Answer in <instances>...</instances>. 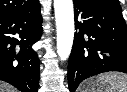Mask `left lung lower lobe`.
<instances>
[{
    "instance_id": "0a47b994",
    "label": "left lung lower lobe",
    "mask_w": 127,
    "mask_h": 92,
    "mask_svg": "<svg viewBox=\"0 0 127 92\" xmlns=\"http://www.w3.org/2000/svg\"><path fill=\"white\" fill-rule=\"evenodd\" d=\"M73 2L76 33L68 63L70 92L90 76L127 73V25L122 13Z\"/></svg>"
}]
</instances>
